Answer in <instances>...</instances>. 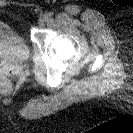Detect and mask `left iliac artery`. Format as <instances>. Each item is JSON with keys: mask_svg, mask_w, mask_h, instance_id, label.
I'll return each instance as SVG.
<instances>
[{"mask_svg": "<svg viewBox=\"0 0 133 133\" xmlns=\"http://www.w3.org/2000/svg\"><path fill=\"white\" fill-rule=\"evenodd\" d=\"M52 15H53L52 12H49V13L45 14V16L47 17V19L50 18Z\"/></svg>", "mask_w": 133, "mask_h": 133, "instance_id": "obj_1", "label": "left iliac artery"}]
</instances>
